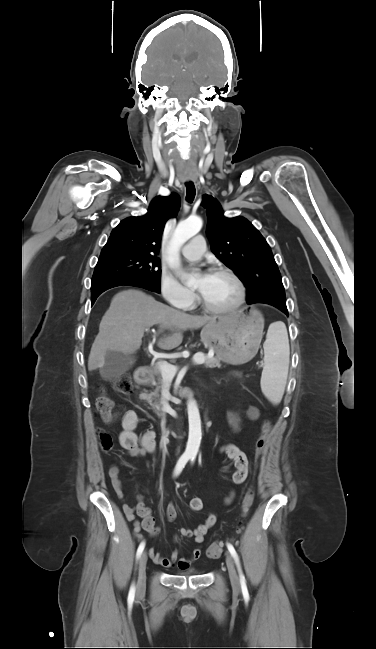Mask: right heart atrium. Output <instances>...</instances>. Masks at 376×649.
Here are the masks:
<instances>
[{"mask_svg":"<svg viewBox=\"0 0 376 649\" xmlns=\"http://www.w3.org/2000/svg\"><path fill=\"white\" fill-rule=\"evenodd\" d=\"M159 290L168 304L180 309L190 308L196 298L191 289L185 287L167 270H162L160 274Z\"/></svg>","mask_w":376,"mask_h":649,"instance_id":"obj_1","label":"right heart atrium"}]
</instances>
